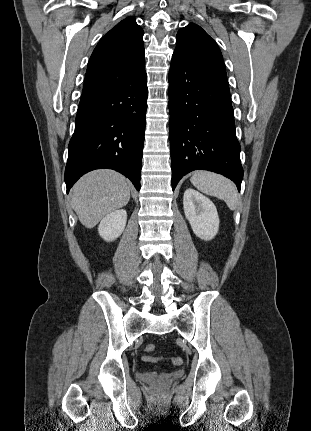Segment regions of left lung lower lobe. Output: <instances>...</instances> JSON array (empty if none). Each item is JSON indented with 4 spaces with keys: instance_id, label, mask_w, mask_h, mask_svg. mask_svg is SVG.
<instances>
[{
    "instance_id": "0a47b994",
    "label": "left lung lower lobe",
    "mask_w": 311,
    "mask_h": 431,
    "mask_svg": "<svg viewBox=\"0 0 311 431\" xmlns=\"http://www.w3.org/2000/svg\"><path fill=\"white\" fill-rule=\"evenodd\" d=\"M169 111L172 189L202 169L228 177L240 191L243 168L226 71L174 52Z\"/></svg>"
}]
</instances>
